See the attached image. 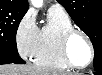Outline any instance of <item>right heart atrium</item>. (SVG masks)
<instances>
[{"instance_id": "1", "label": "right heart atrium", "mask_w": 102, "mask_h": 75, "mask_svg": "<svg viewBox=\"0 0 102 75\" xmlns=\"http://www.w3.org/2000/svg\"><path fill=\"white\" fill-rule=\"evenodd\" d=\"M38 31L35 15L32 11H28L20 19L15 29L16 46L25 59L32 58L35 53Z\"/></svg>"}]
</instances>
